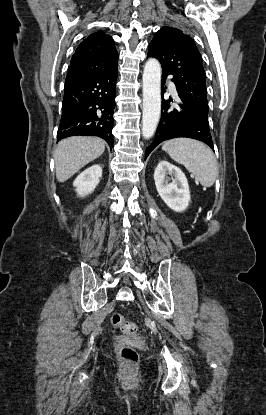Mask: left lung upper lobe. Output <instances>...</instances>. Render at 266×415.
<instances>
[{
	"label": "left lung upper lobe",
	"instance_id": "1",
	"mask_svg": "<svg viewBox=\"0 0 266 415\" xmlns=\"http://www.w3.org/2000/svg\"><path fill=\"white\" fill-rule=\"evenodd\" d=\"M147 56L155 57L162 73L173 75L177 91L208 116L206 74L202 57L193 39L181 30L164 26L149 44Z\"/></svg>",
	"mask_w": 266,
	"mask_h": 415
}]
</instances>
